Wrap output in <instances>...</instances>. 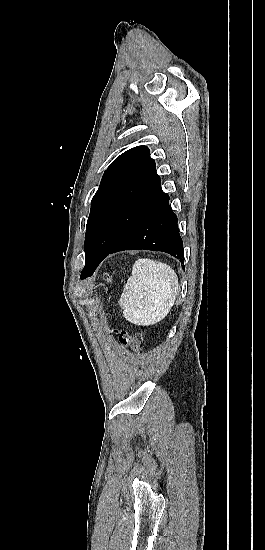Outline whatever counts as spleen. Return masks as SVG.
Segmentation results:
<instances>
[{"mask_svg": "<svg viewBox=\"0 0 265 550\" xmlns=\"http://www.w3.org/2000/svg\"><path fill=\"white\" fill-rule=\"evenodd\" d=\"M179 289L178 277L167 264L138 259L132 268L119 305L126 320L148 326L163 320L173 307Z\"/></svg>", "mask_w": 265, "mask_h": 550, "instance_id": "obj_1", "label": "spleen"}]
</instances>
